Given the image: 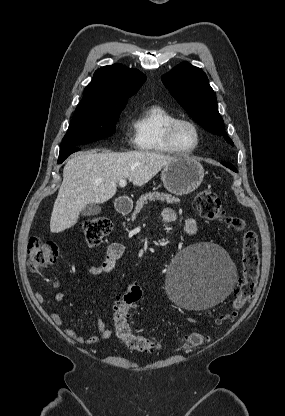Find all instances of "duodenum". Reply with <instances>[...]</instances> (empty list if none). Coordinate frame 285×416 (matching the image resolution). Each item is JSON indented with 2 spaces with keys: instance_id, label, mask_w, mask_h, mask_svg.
I'll list each match as a JSON object with an SVG mask.
<instances>
[{
  "instance_id": "410a0bca",
  "label": "duodenum",
  "mask_w": 285,
  "mask_h": 416,
  "mask_svg": "<svg viewBox=\"0 0 285 416\" xmlns=\"http://www.w3.org/2000/svg\"><path fill=\"white\" fill-rule=\"evenodd\" d=\"M134 200L132 197H117L116 209L120 214H127L131 210Z\"/></svg>"
}]
</instances>
